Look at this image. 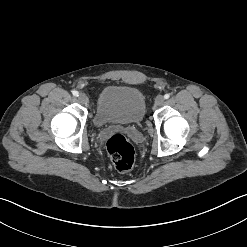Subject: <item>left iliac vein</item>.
Segmentation results:
<instances>
[{
  "mask_svg": "<svg viewBox=\"0 0 247 247\" xmlns=\"http://www.w3.org/2000/svg\"><path fill=\"white\" fill-rule=\"evenodd\" d=\"M164 101H165V98L162 95H159L155 99V104L157 106H161V105H163Z\"/></svg>",
  "mask_w": 247,
  "mask_h": 247,
  "instance_id": "4c4485c4",
  "label": "left iliac vein"
}]
</instances>
